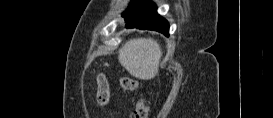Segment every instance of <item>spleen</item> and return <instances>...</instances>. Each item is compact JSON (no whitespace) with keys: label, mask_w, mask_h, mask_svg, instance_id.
Returning <instances> with one entry per match:
<instances>
[{"label":"spleen","mask_w":273,"mask_h":118,"mask_svg":"<svg viewBox=\"0 0 273 118\" xmlns=\"http://www.w3.org/2000/svg\"><path fill=\"white\" fill-rule=\"evenodd\" d=\"M118 53L120 64L132 76L149 80L158 74L162 51L157 41L151 38L131 39Z\"/></svg>","instance_id":"3e777b00"}]
</instances>
